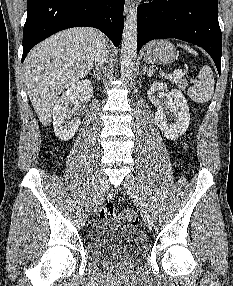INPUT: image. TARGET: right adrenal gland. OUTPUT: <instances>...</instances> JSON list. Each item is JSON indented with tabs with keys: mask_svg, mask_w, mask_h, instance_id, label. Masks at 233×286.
<instances>
[{
	"mask_svg": "<svg viewBox=\"0 0 233 286\" xmlns=\"http://www.w3.org/2000/svg\"><path fill=\"white\" fill-rule=\"evenodd\" d=\"M92 75L94 76V78H97V80L101 79V71L99 69L97 71H93Z\"/></svg>",
	"mask_w": 233,
	"mask_h": 286,
	"instance_id": "obj_1",
	"label": "right adrenal gland"
}]
</instances>
